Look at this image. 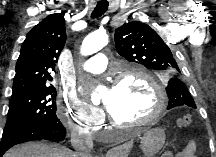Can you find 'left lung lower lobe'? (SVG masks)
Returning a JSON list of instances; mask_svg holds the SVG:
<instances>
[{"label": "left lung lower lobe", "mask_w": 216, "mask_h": 157, "mask_svg": "<svg viewBox=\"0 0 216 157\" xmlns=\"http://www.w3.org/2000/svg\"><path fill=\"white\" fill-rule=\"evenodd\" d=\"M177 106H182L181 103H177V102H172L171 104H168V109L177 107Z\"/></svg>", "instance_id": "left-lung-lower-lobe-1"}]
</instances>
